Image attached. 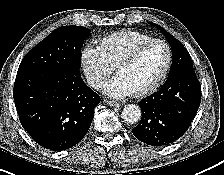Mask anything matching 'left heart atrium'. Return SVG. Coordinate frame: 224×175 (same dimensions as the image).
<instances>
[{
	"instance_id": "obj_1",
	"label": "left heart atrium",
	"mask_w": 224,
	"mask_h": 175,
	"mask_svg": "<svg viewBox=\"0 0 224 175\" xmlns=\"http://www.w3.org/2000/svg\"><path fill=\"white\" fill-rule=\"evenodd\" d=\"M104 91L107 95L114 98H124L134 93L118 74L105 84Z\"/></svg>"
}]
</instances>
